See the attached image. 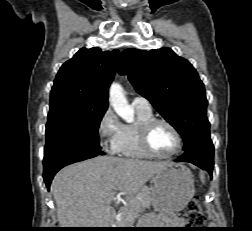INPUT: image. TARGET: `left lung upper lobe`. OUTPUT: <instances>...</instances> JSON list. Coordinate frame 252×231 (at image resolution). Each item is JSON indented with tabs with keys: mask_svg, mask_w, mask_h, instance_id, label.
<instances>
[{
	"mask_svg": "<svg viewBox=\"0 0 252 231\" xmlns=\"http://www.w3.org/2000/svg\"><path fill=\"white\" fill-rule=\"evenodd\" d=\"M119 73L179 132L184 151L212 143L204 84L188 60L170 48L127 49L120 54Z\"/></svg>",
	"mask_w": 252,
	"mask_h": 231,
	"instance_id": "5c2ea615",
	"label": "left lung upper lobe"
}]
</instances>
